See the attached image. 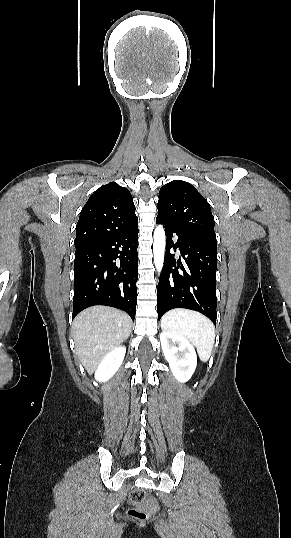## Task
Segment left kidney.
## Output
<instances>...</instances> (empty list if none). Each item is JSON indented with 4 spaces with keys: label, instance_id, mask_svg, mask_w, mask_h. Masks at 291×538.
Segmentation results:
<instances>
[{
    "label": "left kidney",
    "instance_id": "5707ae66",
    "mask_svg": "<svg viewBox=\"0 0 291 538\" xmlns=\"http://www.w3.org/2000/svg\"><path fill=\"white\" fill-rule=\"evenodd\" d=\"M160 342L174 377L181 383L187 382L197 366L193 345L186 338L165 331L160 334Z\"/></svg>",
    "mask_w": 291,
    "mask_h": 538
}]
</instances>
